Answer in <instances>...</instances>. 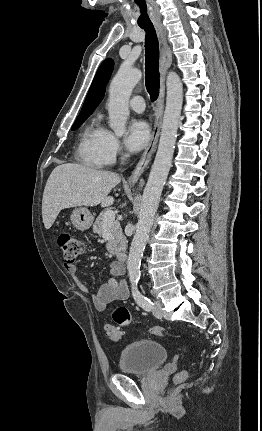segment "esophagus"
Masks as SVG:
<instances>
[{
	"label": "esophagus",
	"instance_id": "esophagus-1",
	"mask_svg": "<svg viewBox=\"0 0 262 431\" xmlns=\"http://www.w3.org/2000/svg\"><path fill=\"white\" fill-rule=\"evenodd\" d=\"M157 32L159 34L160 38V45H161V55H160V90H159V96L156 102V108H155V120H154V126L151 133V138L149 141V144L145 148L143 154L141 155V158L136 165L135 169L133 170L132 174L130 175L128 179V183L131 186H134L140 176L145 171L146 167L148 166L152 155L154 154L157 143L160 136L161 126H162V118H163V112H164V98H165V78L168 69L171 66L172 63V52L171 48L168 44L167 40V30L162 25L159 24L156 26Z\"/></svg>",
	"mask_w": 262,
	"mask_h": 431
}]
</instances>
